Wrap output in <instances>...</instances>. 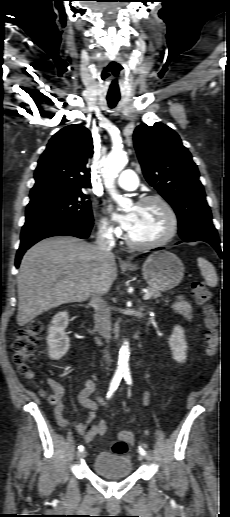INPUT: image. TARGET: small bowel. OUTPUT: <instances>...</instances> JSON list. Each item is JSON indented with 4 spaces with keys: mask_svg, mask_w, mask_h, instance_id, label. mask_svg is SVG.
<instances>
[{
    "mask_svg": "<svg viewBox=\"0 0 230 517\" xmlns=\"http://www.w3.org/2000/svg\"><path fill=\"white\" fill-rule=\"evenodd\" d=\"M173 309L186 318H191L192 305L186 298L182 296L178 297V299L173 303ZM58 387L61 396L62 388L59 384ZM78 401L84 408L88 409L89 411L83 422L72 424L69 420H67L63 415L64 406L61 402H58L55 406L54 417L59 426L72 427L86 443H90L95 438L104 435L107 430V425L103 421L93 425L99 408L106 404L103 398L100 396V387L96 376H92L85 382L84 388L78 394ZM143 402L145 405L150 402L149 391L145 392ZM127 433L131 432L125 430L119 432L118 438L123 437ZM133 442L134 439L132 440V443Z\"/></svg>",
    "mask_w": 230,
    "mask_h": 517,
    "instance_id": "c3829d8e",
    "label": "small bowel"
}]
</instances>
